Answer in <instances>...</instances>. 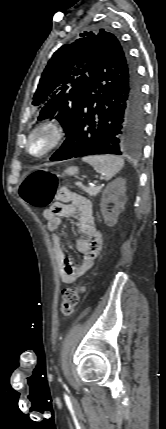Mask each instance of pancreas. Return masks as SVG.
Returning a JSON list of instances; mask_svg holds the SVG:
<instances>
[{
    "label": "pancreas",
    "mask_w": 166,
    "mask_h": 429,
    "mask_svg": "<svg viewBox=\"0 0 166 429\" xmlns=\"http://www.w3.org/2000/svg\"><path fill=\"white\" fill-rule=\"evenodd\" d=\"M79 187H81V189H83L91 197L96 196L101 191L100 186H88L87 187V186L79 185Z\"/></svg>",
    "instance_id": "1"
}]
</instances>
